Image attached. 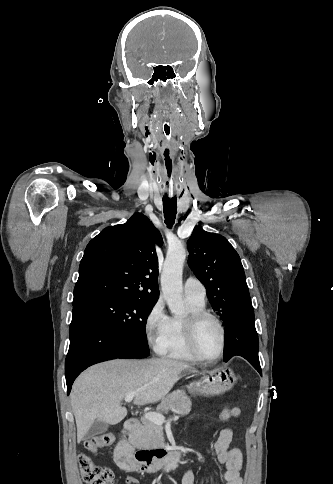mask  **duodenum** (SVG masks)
<instances>
[{
    "instance_id": "410a0bca",
    "label": "duodenum",
    "mask_w": 333,
    "mask_h": 484,
    "mask_svg": "<svg viewBox=\"0 0 333 484\" xmlns=\"http://www.w3.org/2000/svg\"><path fill=\"white\" fill-rule=\"evenodd\" d=\"M139 427L135 418L125 421L123 432L132 433ZM118 465L129 472L155 473L165 469H176L180 466L183 451L177 449H156L135 451L132 443L121 439L115 451Z\"/></svg>"
}]
</instances>
